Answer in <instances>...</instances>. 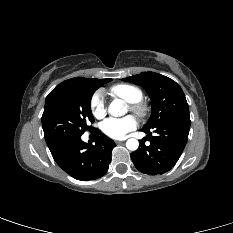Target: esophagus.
Segmentation results:
<instances>
[{"instance_id": "1", "label": "esophagus", "mask_w": 233, "mask_h": 233, "mask_svg": "<svg viewBox=\"0 0 233 233\" xmlns=\"http://www.w3.org/2000/svg\"><path fill=\"white\" fill-rule=\"evenodd\" d=\"M122 143V141H116V144H121Z\"/></svg>"}]
</instances>
